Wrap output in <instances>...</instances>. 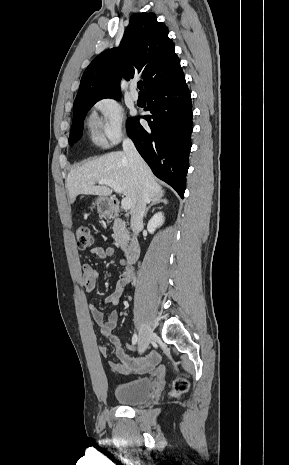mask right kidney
<instances>
[{"label":"right kidney","mask_w":289,"mask_h":465,"mask_svg":"<svg viewBox=\"0 0 289 465\" xmlns=\"http://www.w3.org/2000/svg\"><path fill=\"white\" fill-rule=\"evenodd\" d=\"M164 223V215L162 212H158L156 214L153 215V217L149 220L148 222V225H147V229L149 231V233L153 234L154 231L162 226V224Z\"/></svg>","instance_id":"right-kidney-1"}]
</instances>
